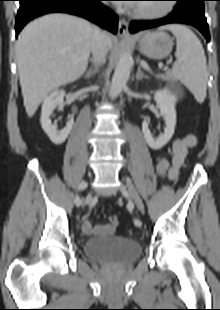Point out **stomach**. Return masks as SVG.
<instances>
[{
	"label": "stomach",
	"mask_w": 220,
	"mask_h": 310,
	"mask_svg": "<svg viewBox=\"0 0 220 310\" xmlns=\"http://www.w3.org/2000/svg\"><path fill=\"white\" fill-rule=\"evenodd\" d=\"M173 40L162 31L145 33L139 40L140 52L151 59H162L170 54Z\"/></svg>",
	"instance_id": "1"
}]
</instances>
